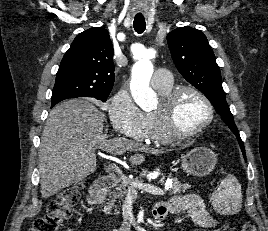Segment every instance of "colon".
Returning a JSON list of instances; mask_svg holds the SVG:
<instances>
[{
    "label": "colon",
    "mask_w": 268,
    "mask_h": 231,
    "mask_svg": "<svg viewBox=\"0 0 268 231\" xmlns=\"http://www.w3.org/2000/svg\"><path fill=\"white\" fill-rule=\"evenodd\" d=\"M81 188V184L66 188L56 200L49 203L47 213L34 221L31 231H58L72 215L75 205L80 200ZM242 231H257L256 224L247 221Z\"/></svg>",
    "instance_id": "1"
}]
</instances>
